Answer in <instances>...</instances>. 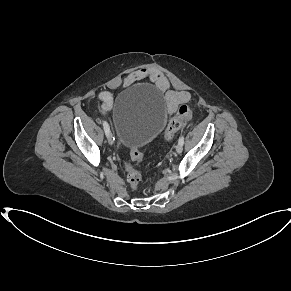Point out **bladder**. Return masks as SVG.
<instances>
[{"mask_svg":"<svg viewBox=\"0 0 291 291\" xmlns=\"http://www.w3.org/2000/svg\"><path fill=\"white\" fill-rule=\"evenodd\" d=\"M167 111L160 93L148 85L121 92L113 106L112 122L121 147L141 149L163 129Z\"/></svg>","mask_w":291,"mask_h":291,"instance_id":"1","label":"bladder"}]
</instances>
